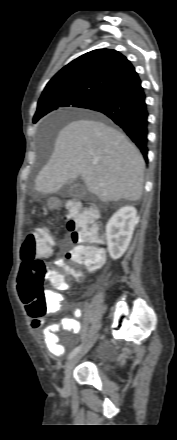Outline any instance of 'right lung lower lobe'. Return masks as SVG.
<instances>
[{
	"mask_svg": "<svg viewBox=\"0 0 177 440\" xmlns=\"http://www.w3.org/2000/svg\"><path fill=\"white\" fill-rule=\"evenodd\" d=\"M105 114L137 145L147 161L148 111L139 77L86 107Z\"/></svg>",
	"mask_w": 177,
	"mask_h": 440,
	"instance_id": "1",
	"label": "right lung lower lobe"
}]
</instances>
